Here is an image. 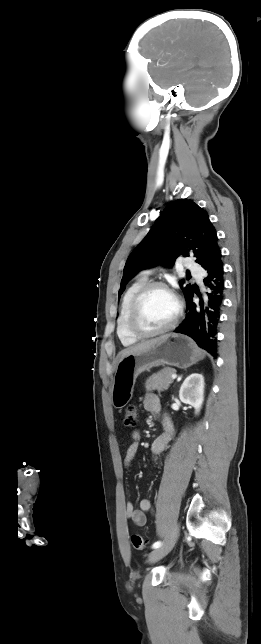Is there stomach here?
I'll return each mask as SVG.
<instances>
[{
  "label": "stomach",
  "instance_id": "0dacf381",
  "mask_svg": "<svg viewBox=\"0 0 261 644\" xmlns=\"http://www.w3.org/2000/svg\"><path fill=\"white\" fill-rule=\"evenodd\" d=\"M204 353L184 335L169 334L161 343L146 351L137 352L119 361L111 391L112 404L120 409L133 397L134 385L140 373L161 365L186 369L204 358Z\"/></svg>",
  "mask_w": 261,
  "mask_h": 644
}]
</instances>
